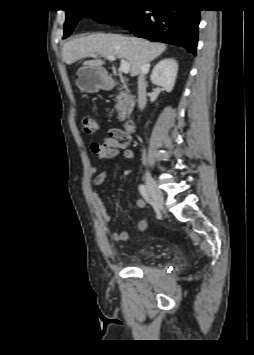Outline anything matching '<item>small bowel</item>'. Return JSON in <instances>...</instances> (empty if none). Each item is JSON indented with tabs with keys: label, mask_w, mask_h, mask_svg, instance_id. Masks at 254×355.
Listing matches in <instances>:
<instances>
[{
	"label": "small bowel",
	"mask_w": 254,
	"mask_h": 355,
	"mask_svg": "<svg viewBox=\"0 0 254 355\" xmlns=\"http://www.w3.org/2000/svg\"><path fill=\"white\" fill-rule=\"evenodd\" d=\"M131 144L132 137L118 128L110 129L102 142H92L90 144L91 152L97 157V162L91 167V172L95 174L93 181L95 186H101L106 179V171L100 170V163L104 160H113L121 154L127 159H132L134 153L131 150ZM91 198L96 204L102 219L106 222H110L112 217L107 212L100 195L97 192H92ZM136 205L138 208H144L146 203L143 199H138ZM138 227L140 230H145L147 221L145 219L141 220ZM112 238L116 242H124L129 239V233L124 230L118 231L113 234Z\"/></svg>",
	"instance_id": "small-bowel-1"
}]
</instances>
